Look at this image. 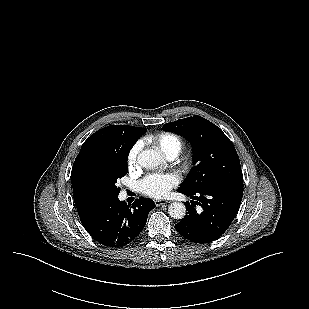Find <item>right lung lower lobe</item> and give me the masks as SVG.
<instances>
[{"label": "right lung lower lobe", "mask_w": 309, "mask_h": 309, "mask_svg": "<svg viewBox=\"0 0 309 309\" xmlns=\"http://www.w3.org/2000/svg\"><path fill=\"white\" fill-rule=\"evenodd\" d=\"M153 208L155 204L149 199H137L130 206L115 197L94 203L79 216L83 227L97 242L120 248L140 234Z\"/></svg>", "instance_id": "1"}]
</instances>
